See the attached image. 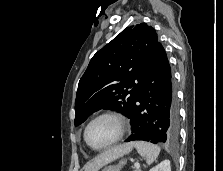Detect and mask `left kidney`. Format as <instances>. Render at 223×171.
Instances as JSON below:
<instances>
[{"label": "left kidney", "instance_id": "left-kidney-1", "mask_svg": "<svg viewBox=\"0 0 223 171\" xmlns=\"http://www.w3.org/2000/svg\"><path fill=\"white\" fill-rule=\"evenodd\" d=\"M149 171H171L170 161L164 160Z\"/></svg>", "mask_w": 223, "mask_h": 171}]
</instances>
